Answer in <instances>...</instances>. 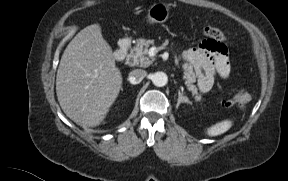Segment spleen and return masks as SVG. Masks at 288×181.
Instances as JSON below:
<instances>
[{"label": "spleen", "instance_id": "obj_1", "mask_svg": "<svg viewBox=\"0 0 288 181\" xmlns=\"http://www.w3.org/2000/svg\"><path fill=\"white\" fill-rule=\"evenodd\" d=\"M231 126H232V121L224 120L208 128L207 134L209 136H217L228 131L231 128Z\"/></svg>", "mask_w": 288, "mask_h": 181}]
</instances>
